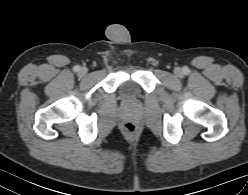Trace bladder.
I'll return each instance as SVG.
<instances>
[{"label": "bladder", "instance_id": "bladder-1", "mask_svg": "<svg viewBox=\"0 0 248 195\" xmlns=\"http://www.w3.org/2000/svg\"><path fill=\"white\" fill-rule=\"evenodd\" d=\"M124 90L128 94H133V93L137 92L139 89L135 84L128 83L124 86Z\"/></svg>", "mask_w": 248, "mask_h": 195}]
</instances>
